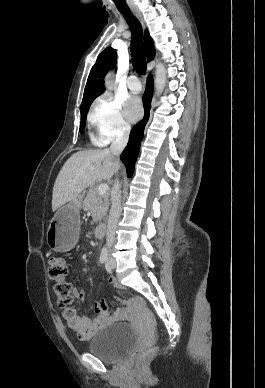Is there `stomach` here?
I'll return each instance as SVG.
<instances>
[{"label":"stomach","instance_id":"stomach-1","mask_svg":"<svg viewBox=\"0 0 265 388\" xmlns=\"http://www.w3.org/2000/svg\"><path fill=\"white\" fill-rule=\"evenodd\" d=\"M81 202L75 199L57 210L47 231V244L57 252L72 249L79 236Z\"/></svg>","mask_w":265,"mask_h":388}]
</instances>
